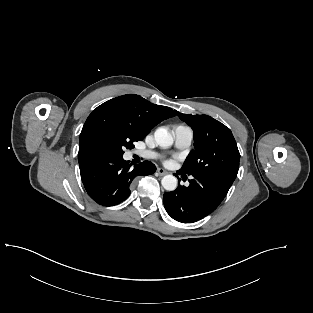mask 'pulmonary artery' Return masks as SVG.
<instances>
[{"mask_svg": "<svg viewBox=\"0 0 313 313\" xmlns=\"http://www.w3.org/2000/svg\"><path fill=\"white\" fill-rule=\"evenodd\" d=\"M173 133L175 146L177 148L185 149L191 145L193 141V131L190 127L183 125L177 126ZM136 154L146 159H153L158 157V154L153 151H137Z\"/></svg>", "mask_w": 313, "mask_h": 313, "instance_id": "1", "label": "pulmonary artery"}]
</instances>
